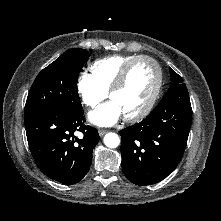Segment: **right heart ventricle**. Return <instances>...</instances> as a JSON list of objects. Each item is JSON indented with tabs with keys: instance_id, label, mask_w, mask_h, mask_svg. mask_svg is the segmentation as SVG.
<instances>
[{
	"instance_id": "e07e8e85",
	"label": "right heart ventricle",
	"mask_w": 221,
	"mask_h": 221,
	"mask_svg": "<svg viewBox=\"0 0 221 221\" xmlns=\"http://www.w3.org/2000/svg\"><path fill=\"white\" fill-rule=\"evenodd\" d=\"M137 55H111L100 58L90 65L91 76L97 85L108 92L122 68Z\"/></svg>"
}]
</instances>
